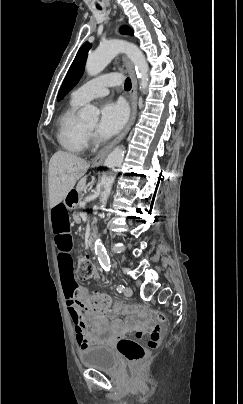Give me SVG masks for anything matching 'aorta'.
Instances as JSON below:
<instances>
[{"instance_id":"obj_1","label":"aorta","mask_w":243,"mask_h":404,"mask_svg":"<svg viewBox=\"0 0 243 404\" xmlns=\"http://www.w3.org/2000/svg\"><path fill=\"white\" fill-rule=\"evenodd\" d=\"M118 54H126L128 60L133 64L137 78L140 80L139 90L145 92L148 88L149 76H148V64L146 58L135 46V44H130V42H125V40H107L98 46L95 52L89 54L85 66V70L88 76H97L100 72L105 70L106 66L110 64L111 60L118 56ZM79 116L83 122L87 124H93L97 122L99 116V110L95 106H85L79 112ZM125 150L124 146H117L114 148L113 152L108 154L104 166L101 172V184L103 186V192L100 196V209L99 217H104V210L107 204V200L111 194L112 184L115 182V171L118 170L124 160ZM95 254H97L101 264L105 268H109L110 262L108 256H106L101 240H96L94 244Z\"/></svg>"}]
</instances>
